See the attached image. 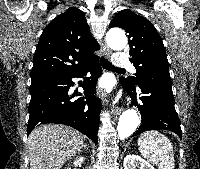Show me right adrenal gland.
Instances as JSON below:
<instances>
[{
  "mask_svg": "<svg viewBox=\"0 0 200 169\" xmlns=\"http://www.w3.org/2000/svg\"><path fill=\"white\" fill-rule=\"evenodd\" d=\"M82 147L88 150V145L87 144H83Z\"/></svg>",
  "mask_w": 200,
  "mask_h": 169,
  "instance_id": "1",
  "label": "right adrenal gland"
}]
</instances>
